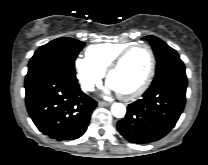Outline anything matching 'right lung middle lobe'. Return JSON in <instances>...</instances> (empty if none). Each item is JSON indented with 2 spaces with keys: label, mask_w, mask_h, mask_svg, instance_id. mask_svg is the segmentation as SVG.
Segmentation results:
<instances>
[{
  "label": "right lung middle lobe",
  "mask_w": 208,
  "mask_h": 165,
  "mask_svg": "<svg viewBox=\"0 0 208 165\" xmlns=\"http://www.w3.org/2000/svg\"><path fill=\"white\" fill-rule=\"evenodd\" d=\"M84 42L73 38H58L41 46L30 59L26 77L47 67H59L75 74L74 62Z\"/></svg>",
  "instance_id": "1"
}]
</instances>
